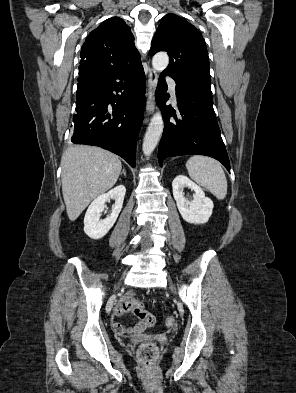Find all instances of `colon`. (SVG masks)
<instances>
[{
	"mask_svg": "<svg viewBox=\"0 0 296 393\" xmlns=\"http://www.w3.org/2000/svg\"><path fill=\"white\" fill-rule=\"evenodd\" d=\"M122 309L125 312L132 311L133 314L145 323L147 326L152 327L156 323L155 316L147 312L142 303L138 300L123 299L121 302ZM175 321L173 318H167L165 321L166 326L172 327ZM157 356V347L152 342L142 344L138 349V357L146 365H150Z\"/></svg>",
	"mask_w": 296,
	"mask_h": 393,
	"instance_id": "colon-1",
	"label": "colon"
}]
</instances>
